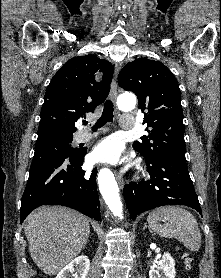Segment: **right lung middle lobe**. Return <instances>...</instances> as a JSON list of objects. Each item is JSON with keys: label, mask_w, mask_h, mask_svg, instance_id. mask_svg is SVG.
<instances>
[{"label": "right lung middle lobe", "mask_w": 221, "mask_h": 278, "mask_svg": "<svg viewBox=\"0 0 221 278\" xmlns=\"http://www.w3.org/2000/svg\"><path fill=\"white\" fill-rule=\"evenodd\" d=\"M72 138L73 136L36 144L30 171L53 160L76 155L78 151L71 146Z\"/></svg>", "instance_id": "dd1d6c3e"}]
</instances>
